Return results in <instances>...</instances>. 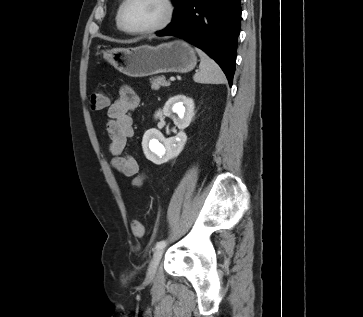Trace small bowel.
<instances>
[{
  "mask_svg": "<svg viewBox=\"0 0 363 317\" xmlns=\"http://www.w3.org/2000/svg\"><path fill=\"white\" fill-rule=\"evenodd\" d=\"M140 104V97L129 86H123L118 97L108 107L107 133L110 138L108 151L114 169L132 178V185L139 187L144 181L137 158L125 152L127 141L133 136L131 112Z\"/></svg>",
  "mask_w": 363,
  "mask_h": 317,
  "instance_id": "c3829d8e",
  "label": "small bowel"
}]
</instances>
